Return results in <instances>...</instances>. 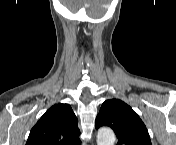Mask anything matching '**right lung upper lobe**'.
Here are the masks:
<instances>
[{
  "label": "right lung upper lobe",
  "instance_id": "1",
  "mask_svg": "<svg viewBox=\"0 0 176 145\" xmlns=\"http://www.w3.org/2000/svg\"><path fill=\"white\" fill-rule=\"evenodd\" d=\"M77 118L69 104L48 109L30 131L26 145H79Z\"/></svg>",
  "mask_w": 176,
  "mask_h": 145
}]
</instances>
